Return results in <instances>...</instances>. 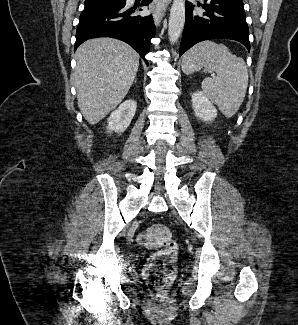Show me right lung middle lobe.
Masks as SVG:
<instances>
[{"mask_svg": "<svg viewBox=\"0 0 298 325\" xmlns=\"http://www.w3.org/2000/svg\"><path fill=\"white\" fill-rule=\"evenodd\" d=\"M122 0H85V6L106 5L121 2Z\"/></svg>", "mask_w": 298, "mask_h": 325, "instance_id": "1", "label": "right lung middle lobe"}]
</instances>
